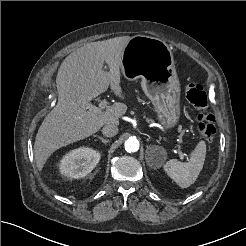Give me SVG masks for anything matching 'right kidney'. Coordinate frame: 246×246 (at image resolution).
<instances>
[{"mask_svg":"<svg viewBox=\"0 0 246 246\" xmlns=\"http://www.w3.org/2000/svg\"><path fill=\"white\" fill-rule=\"evenodd\" d=\"M98 151L89 147H80L68 152L60 161L61 174L78 179L89 174L100 161Z\"/></svg>","mask_w":246,"mask_h":246,"instance_id":"obj_1","label":"right kidney"}]
</instances>
